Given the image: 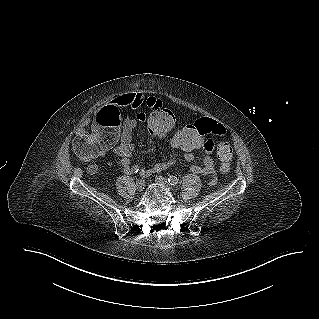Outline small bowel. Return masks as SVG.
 I'll return each instance as SVG.
<instances>
[{
  "label": "small bowel",
  "instance_id": "small-bowel-1",
  "mask_svg": "<svg viewBox=\"0 0 319 319\" xmlns=\"http://www.w3.org/2000/svg\"><path fill=\"white\" fill-rule=\"evenodd\" d=\"M143 104L152 109L154 113H170L172 109L170 104H163L159 99L155 97H148L147 99H145L140 93L121 94L113 97L108 102V105H106L104 108H99L98 111L93 113L91 117L92 125L90 130H88L87 124H83L77 129L76 135L78 137H89L91 145L100 149L101 155H105L108 151H111L115 155L119 156L121 158V165L124 171L126 173H131L133 167L131 166L130 158L135 147L134 130L137 122L145 123L149 129V126L146 122L147 114L139 112L136 115L135 119H130L127 121L124 111L116 107L137 108ZM123 126L124 129L121 133V128ZM149 132L152 135L150 130ZM120 134V143L111 148L114 143L117 142ZM221 136L222 132L220 130H217L212 135V138L206 139L202 147L203 152L206 154L211 153L217 143V139ZM194 158V153H184V159L186 161H193ZM173 164L174 160L170 159L164 162L157 163L152 168L144 170L143 173L148 176L152 173L163 171ZM191 171L195 174L210 176V183L212 185L216 182V179L214 177V160L209 155L204 157L202 164L192 165Z\"/></svg>",
  "mask_w": 319,
  "mask_h": 319
}]
</instances>
